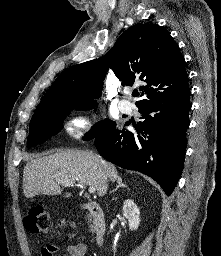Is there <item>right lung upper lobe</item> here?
<instances>
[{"label":"right lung upper lobe","mask_w":221,"mask_h":256,"mask_svg":"<svg viewBox=\"0 0 221 256\" xmlns=\"http://www.w3.org/2000/svg\"><path fill=\"white\" fill-rule=\"evenodd\" d=\"M109 67L123 85L144 82L140 87L143 99L136 102L137 107L190 91L185 60L170 34L157 24H136L122 33L105 56L63 71L37 108L59 99L96 103Z\"/></svg>","instance_id":"1"}]
</instances>
